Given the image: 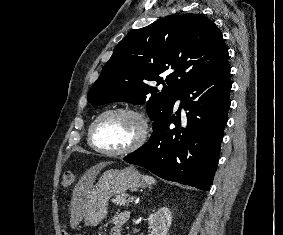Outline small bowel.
I'll use <instances>...</instances> for the list:
<instances>
[{
	"label": "small bowel",
	"mask_w": 283,
	"mask_h": 235,
	"mask_svg": "<svg viewBox=\"0 0 283 235\" xmlns=\"http://www.w3.org/2000/svg\"><path fill=\"white\" fill-rule=\"evenodd\" d=\"M128 219H129L128 212H120L116 214L112 218L109 235H121L122 227L128 221Z\"/></svg>",
	"instance_id": "c3829d8e"
}]
</instances>
